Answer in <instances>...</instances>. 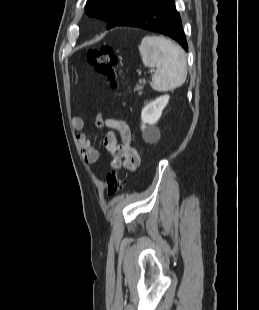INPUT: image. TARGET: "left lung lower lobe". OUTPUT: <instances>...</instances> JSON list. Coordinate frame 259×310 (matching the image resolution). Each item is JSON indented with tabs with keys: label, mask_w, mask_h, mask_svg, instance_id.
<instances>
[{
	"label": "left lung lower lobe",
	"mask_w": 259,
	"mask_h": 310,
	"mask_svg": "<svg viewBox=\"0 0 259 310\" xmlns=\"http://www.w3.org/2000/svg\"><path fill=\"white\" fill-rule=\"evenodd\" d=\"M115 26L138 27L167 35L188 51L174 0H149L129 10Z\"/></svg>",
	"instance_id": "1"
}]
</instances>
